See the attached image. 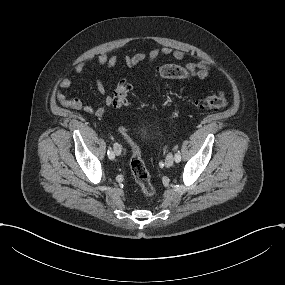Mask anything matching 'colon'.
<instances>
[{
    "instance_id": "colon-1",
    "label": "colon",
    "mask_w": 285,
    "mask_h": 285,
    "mask_svg": "<svg viewBox=\"0 0 285 285\" xmlns=\"http://www.w3.org/2000/svg\"><path fill=\"white\" fill-rule=\"evenodd\" d=\"M158 76L165 79L177 80H187L191 78L189 72L185 68L176 64H167L160 67L158 69ZM131 90L132 86L128 81H120L112 95L113 106L121 107L126 105ZM228 104L229 99L221 91L205 96L197 102L199 108L212 111L222 110ZM120 133L131 147L132 155L130 158V169L136 183L145 197H153L155 194V187L151 182L149 171L142 160L140 148L125 127L120 128Z\"/></svg>"
}]
</instances>
